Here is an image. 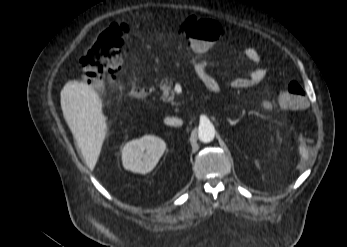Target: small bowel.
Segmentation results:
<instances>
[{
    "mask_svg": "<svg viewBox=\"0 0 347 247\" xmlns=\"http://www.w3.org/2000/svg\"><path fill=\"white\" fill-rule=\"evenodd\" d=\"M207 54L208 52H196V55L192 58V62L198 77L205 87L212 92H217L220 89V85L209 72L208 68L213 65V62L206 58ZM244 58L255 65V68L247 76H235L229 81L230 86L236 89L252 87L263 81L267 75L266 68L261 65V55L255 48H246Z\"/></svg>",
    "mask_w": 347,
    "mask_h": 247,
    "instance_id": "obj_1",
    "label": "small bowel"
}]
</instances>
